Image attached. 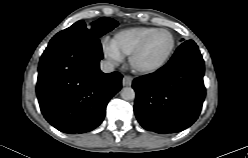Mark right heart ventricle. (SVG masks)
Returning a JSON list of instances; mask_svg holds the SVG:
<instances>
[{
  "mask_svg": "<svg viewBox=\"0 0 248 158\" xmlns=\"http://www.w3.org/2000/svg\"><path fill=\"white\" fill-rule=\"evenodd\" d=\"M155 28L134 27L116 32L111 42L122 56H130L142 39Z\"/></svg>",
  "mask_w": 248,
  "mask_h": 158,
  "instance_id": "obj_1",
  "label": "right heart ventricle"
}]
</instances>
